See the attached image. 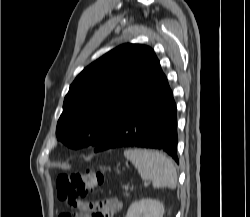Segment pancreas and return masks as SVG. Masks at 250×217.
<instances>
[{"instance_id":"1","label":"pancreas","mask_w":250,"mask_h":217,"mask_svg":"<svg viewBox=\"0 0 250 217\" xmlns=\"http://www.w3.org/2000/svg\"><path fill=\"white\" fill-rule=\"evenodd\" d=\"M125 196H126V197H128V196H129V194L126 192V193H125Z\"/></svg>"}]
</instances>
